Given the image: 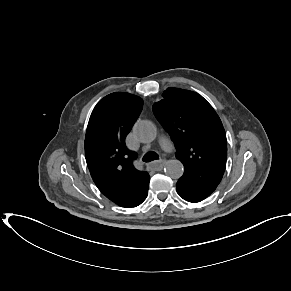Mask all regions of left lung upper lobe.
<instances>
[{
    "label": "left lung upper lobe",
    "instance_id": "5c2ea615",
    "mask_svg": "<svg viewBox=\"0 0 291 291\" xmlns=\"http://www.w3.org/2000/svg\"><path fill=\"white\" fill-rule=\"evenodd\" d=\"M153 112L170 134L176 158L184 165L177 183L209 196L226 167L227 140L219 116L198 93L172 87L154 103Z\"/></svg>",
    "mask_w": 291,
    "mask_h": 291
}]
</instances>
